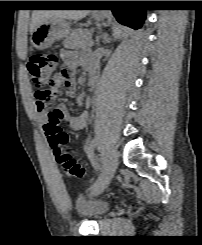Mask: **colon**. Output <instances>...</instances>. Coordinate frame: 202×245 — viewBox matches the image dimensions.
I'll use <instances>...</instances> for the list:
<instances>
[{"label":"colon","mask_w":202,"mask_h":245,"mask_svg":"<svg viewBox=\"0 0 202 245\" xmlns=\"http://www.w3.org/2000/svg\"><path fill=\"white\" fill-rule=\"evenodd\" d=\"M59 59L53 54H34L28 64L32 83L39 88L38 104L50 107L59 94L60 83L69 73L67 70H59ZM60 117L53 110L49 111L44 130L51 140L53 154L62 172L72 178H83L86 175L85 168L80 165L68 146V135L60 126Z\"/></svg>","instance_id":"colon-1"}]
</instances>
